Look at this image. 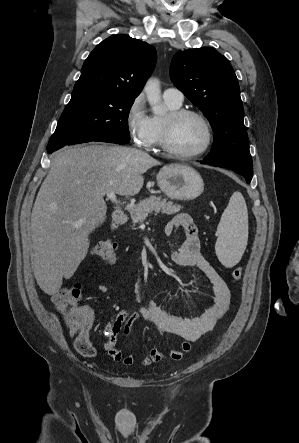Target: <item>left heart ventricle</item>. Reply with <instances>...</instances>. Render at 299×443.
Segmentation results:
<instances>
[{
    "mask_svg": "<svg viewBox=\"0 0 299 443\" xmlns=\"http://www.w3.org/2000/svg\"><path fill=\"white\" fill-rule=\"evenodd\" d=\"M206 140L203 122L195 116H186L178 120L170 134L171 147L179 152L191 153L199 150Z\"/></svg>",
    "mask_w": 299,
    "mask_h": 443,
    "instance_id": "obj_1",
    "label": "left heart ventricle"
}]
</instances>
